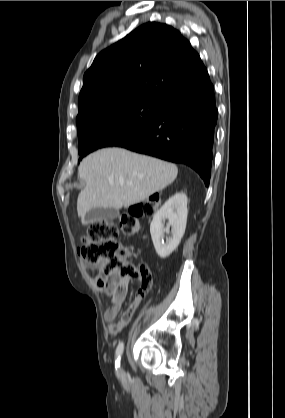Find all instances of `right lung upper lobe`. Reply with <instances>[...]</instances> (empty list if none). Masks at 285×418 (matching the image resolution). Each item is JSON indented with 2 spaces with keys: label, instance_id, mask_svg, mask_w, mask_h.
Instances as JSON below:
<instances>
[{
  "label": "right lung upper lobe",
  "instance_id": "cb5924a9",
  "mask_svg": "<svg viewBox=\"0 0 285 418\" xmlns=\"http://www.w3.org/2000/svg\"><path fill=\"white\" fill-rule=\"evenodd\" d=\"M208 74L190 42L173 27L148 22L100 52L83 77L77 122L113 105L164 104Z\"/></svg>",
  "mask_w": 285,
  "mask_h": 418
}]
</instances>
